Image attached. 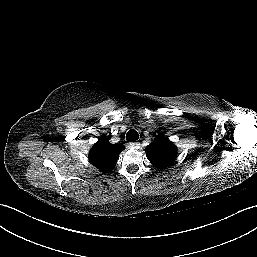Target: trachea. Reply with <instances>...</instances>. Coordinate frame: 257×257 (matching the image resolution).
Returning a JSON list of instances; mask_svg holds the SVG:
<instances>
[{"label":"trachea","instance_id":"obj_1","mask_svg":"<svg viewBox=\"0 0 257 257\" xmlns=\"http://www.w3.org/2000/svg\"><path fill=\"white\" fill-rule=\"evenodd\" d=\"M139 139V134L136 130L131 129L127 132L126 134V140L127 142H132V141H136Z\"/></svg>","mask_w":257,"mask_h":257}]
</instances>
